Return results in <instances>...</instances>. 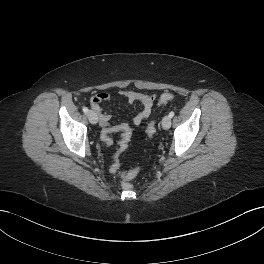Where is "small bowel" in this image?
<instances>
[{
  "mask_svg": "<svg viewBox=\"0 0 264 264\" xmlns=\"http://www.w3.org/2000/svg\"><path fill=\"white\" fill-rule=\"evenodd\" d=\"M120 95L129 103L140 102L142 104V110L136 114L133 118L134 125H141L146 121L152 112L154 102L156 100V94H146L131 90H123ZM110 100V95L107 92H98L94 94L90 99L91 109L96 113L100 126L103 131H110L113 133H121V139L119 141V148L114 155L113 163L110 166V171L116 173L119 170L118 156L126 149L123 145L124 131H128L131 134V129L128 124L120 123L111 125V116L106 113L102 105Z\"/></svg>",
  "mask_w": 264,
  "mask_h": 264,
  "instance_id": "obj_1",
  "label": "small bowel"
}]
</instances>
